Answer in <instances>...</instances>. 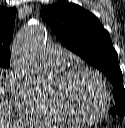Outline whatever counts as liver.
<instances>
[{"label": "liver", "mask_w": 125, "mask_h": 128, "mask_svg": "<svg viewBox=\"0 0 125 128\" xmlns=\"http://www.w3.org/2000/svg\"><path fill=\"white\" fill-rule=\"evenodd\" d=\"M11 112V101L7 83L0 76V128H12V126L19 127Z\"/></svg>", "instance_id": "liver-1"}]
</instances>
